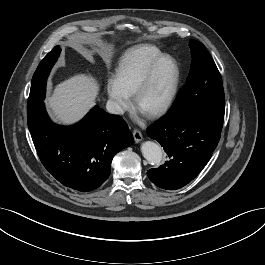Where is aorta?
Listing matches in <instances>:
<instances>
[{"label":"aorta","instance_id":"1","mask_svg":"<svg viewBox=\"0 0 265 265\" xmlns=\"http://www.w3.org/2000/svg\"><path fill=\"white\" fill-rule=\"evenodd\" d=\"M141 152L151 165L160 164L162 160V149L157 143L151 141L144 142L141 146Z\"/></svg>","mask_w":265,"mask_h":265}]
</instances>
